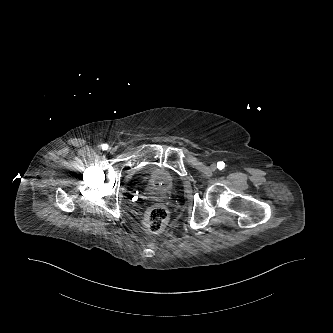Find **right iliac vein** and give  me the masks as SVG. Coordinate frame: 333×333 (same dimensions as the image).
I'll list each match as a JSON object with an SVG mask.
<instances>
[{
	"label": "right iliac vein",
	"mask_w": 333,
	"mask_h": 333,
	"mask_svg": "<svg viewBox=\"0 0 333 333\" xmlns=\"http://www.w3.org/2000/svg\"><path fill=\"white\" fill-rule=\"evenodd\" d=\"M109 152H110L111 154H115V152H116V148H114V147H110V148H109Z\"/></svg>",
	"instance_id": "1"
}]
</instances>
